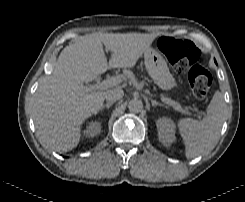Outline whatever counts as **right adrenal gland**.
I'll use <instances>...</instances> for the list:
<instances>
[{
  "label": "right adrenal gland",
  "instance_id": "1",
  "mask_svg": "<svg viewBox=\"0 0 245 202\" xmlns=\"http://www.w3.org/2000/svg\"><path fill=\"white\" fill-rule=\"evenodd\" d=\"M112 105H113L112 102H108L107 104L101 106L100 111H102V110L105 109V108H106L107 110H109V108H110Z\"/></svg>",
  "mask_w": 245,
  "mask_h": 202
}]
</instances>
